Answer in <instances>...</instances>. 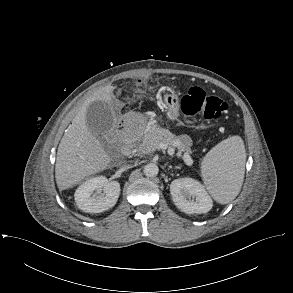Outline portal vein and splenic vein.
Instances as JSON below:
<instances>
[{"label": "portal vein and splenic vein", "instance_id": "obj_1", "mask_svg": "<svg viewBox=\"0 0 293 293\" xmlns=\"http://www.w3.org/2000/svg\"><path fill=\"white\" fill-rule=\"evenodd\" d=\"M158 147L160 148V149H162V150H165V149H167L168 148V144H166V143H160L159 145H158ZM184 158H189V155L188 154H184Z\"/></svg>", "mask_w": 293, "mask_h": 293}]
</instances>
